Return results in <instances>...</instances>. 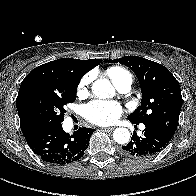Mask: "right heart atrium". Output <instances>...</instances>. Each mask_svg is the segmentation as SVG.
Returning <instances> with one entry per match:
<instances>
[{
    "instance_id": "obj_1",
    "label": "right heart atrium",
    "mask_w": 196,
    "mask_h": 196,
    "mask_svg": "<svg viewBox=\"0 0 196 196\" xmlns=\"http://www.w3.org/2000/svg\"><path fill=\"white\" fill-rule=\"evenodd\" d=\"M90 82H91L90 75H86L85 77H83L78 85V94L86 93Z\"/></svg>"
}]
</instances>
